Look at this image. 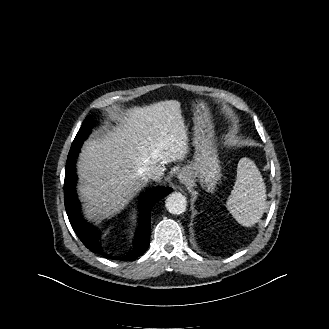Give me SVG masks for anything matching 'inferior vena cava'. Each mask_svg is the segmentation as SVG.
<instances>
[{
    "instance_id": "obj_1",
    "label": "inferior vena cava",
    "mask_w": 329,
    "mask_h": 329,
    "mask_svg": "<svg viewBox=\"0 0 329 329\" xmlns=\"http://www.w3.org/2000/svg\"><path fill=\"white\" fill-rule=\"evenodd\" d=\"M140 175L145 181L149 179L158 180L162 175V171L159 167H146L141 170Z\"/></svg>"
}]
</instances>
